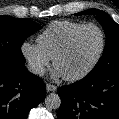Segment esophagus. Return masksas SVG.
<instances>
[{"mask_svg":"<svg viewBox=\"0 0 119 119\" xmlns=\"http://www.w3.org/2000/svg\"><path fill=\"white\" fill-rule=\"evenodd\" d=\"M57 90V87L55 85H52L50 83L46 84V91L47 92H55Z\"/></svg>","mask_w":119,"mask_h":119,"instance_id":"esophagus-1","label":"esophagus"}]
</instances>
